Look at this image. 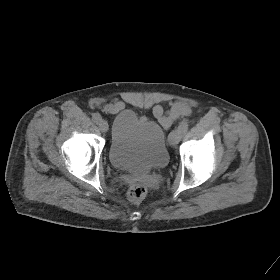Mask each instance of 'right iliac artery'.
I'll use <instances>...</instances> for the list:
<instances>
[{
  "instance_id": "1",
  "label": "right iliac artery",
  "mask_w": 280,
  "mask_h": 280,
  "mask_svg": "<svg viewBox=\"0 0 280 280\" xmlns=\"http://www.w3.org/2000/svg\"><path fill=\"white\" fill-rule=\"evenodd\" d=\"M92 120H93V122H95V123L98 124V123L102 120V117H101L100 114L94 113V114L92 115Z\"/></svg>"
}]
</instances>
